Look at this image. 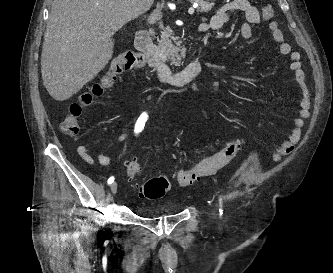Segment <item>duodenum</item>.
Instances as JSON below:
<instances>
[{"label": "duodenum", "instance_id": "1", "mask_svg": "<svg viewBox=\"0 0 333 273\" xmlns=\"http://www.w3.org/2000/svg\"><path fill=\"white\" fill-rule=\"evenodd\" d=\"M135 43L138 52L161 83L182 87L193 82L201 73V64L197 57L193 58L183 70L171 72L165 61L156 53L151 34L147 29L136 32Z\"/></svg>", "mask_w": 333, "mask_h": 273}]
</instances>
